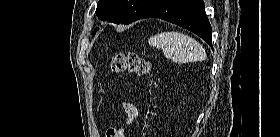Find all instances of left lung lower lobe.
I'll return each mask as SVG.
<instances>
[{"mask_svg":"<svg viewBox=\"0 0 280 137\" xmlns=\"http://www.w3.org/2000/svg\"><path fill=\"white\" fill-rule=\"evenodd\" d=\"M159 18L190 30L212 47V28L203 0H160L140 19Z\"/></svg>","mask_w":280,"mask_h":137,"instance_id":"obj_1","label":"left lung lower lobe"}]
</instances>
